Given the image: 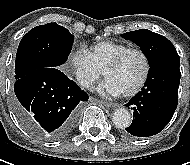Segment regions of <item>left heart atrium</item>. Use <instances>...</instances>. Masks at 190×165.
Masks as SVG:
<instances>
[{
  "mask_svg": "<svg viewBox=\"0 0 190 165\" xmlns=\"http://www.w3.org/2000/svg\"><path fill=\"white\" fill-rule=\"evenodd\" d=\"M98 90L100 93L106 95H119L122 93L121 90L109 79H106L101 83Z\"/></svg>",
  "mask_w": 190,
  "mask_h": 165,
  "instance_id": "left-heart-atrium-1",
  "label": "left heart atrium"
}]
</instances>
